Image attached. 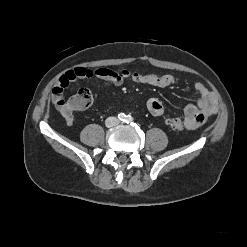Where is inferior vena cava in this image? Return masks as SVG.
I'll return each mask as SVG.
<instances>
[{"label": "inferior vena cava", "mask_w": 247, "mask_h": 247, "mask_svg": "<svg viewBox=\"0 0 247 247\" xmlns=\"http://www.w3.org/2000/svg\"><path fill=\"white\" fill-rule=\"evenodd\" d=\"M118 124V119L116 117H108L106 119V125L112 127Z\"/></svg>", "instance_id": "inferior-vena-cava-1"}]
</instances>
